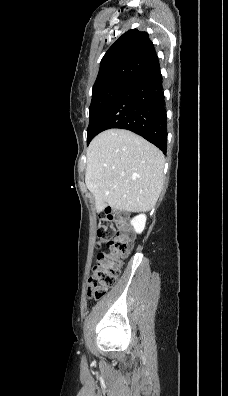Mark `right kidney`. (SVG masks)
Returning a JSON list of instances; mask_svg holds the SVG:
<instances>
[{
  "instance_id": "obj_1",
  "label": "right kidney",
  "mask_w": 228,
  "mask_h": 396,
  "mask_svg": "<svg viewBox=\"0 0 228 396\" xmlns=\"http://www.w3.org/2000/svg\"><path fill=\"white\" fill-rule=\"evenodd\" d=\"M130 223L134 227L136 233H141L145 228L146 216L144 214H140L134 217Z\"/></svg>"
}]
</instances>
